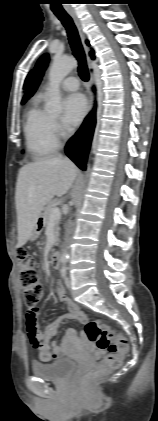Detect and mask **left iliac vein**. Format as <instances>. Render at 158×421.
Returning a JSON list of instances; mask_svg holds the SVG:
<instances>
[{"label": "left iliac vein", "mask_w": 158, "mask_h": 421, "mask_svg": "<svg viewBox=\"0 0 158 421\" xmlns=\"http://www.w3.org/2000/svg\"><path fill=\"white\" fill-rule=\"evenodd\" d=\"M65 284H66V286H67L68 288H70V287H71V279H70L69 277H67V278L65 279Z\"/></svg>", "instance_id": "obj_1"}]
</instances>
